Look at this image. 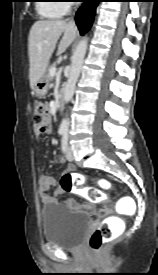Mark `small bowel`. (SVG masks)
<instances>
[{"instance_id": "obj_1", "label": "small bowel", "mask_w": 158, "mask_h": 275, "mask_svg": "<svg viewBox=\"0 0 158 275\" xmlns=\"http://www.w3.org/2000/svg\"><path fill=\"white\" fill-rule=\"evenodd\" d=\"M51 131V126L49 122L48 128L44 132H39L35 130V133L37 136L41 135L42 133H49ZM65 160L63 158H60L59 162L63 163ZM74 169V166H69L67 168V172H71ZM38 185H39V194L42 202L44 204H52L58 202V197L63 192L60 183L53 177L47 176V175H41L38 179ZM55 187V191L51 192L50 187ZM95 202L92 200H87L85 202H78L74 198H67L65 200V204L72 210L80 211L86 214H93L97 215L95 213ZM101 213V212H100Z\"/></svg>"}]
</instances>
